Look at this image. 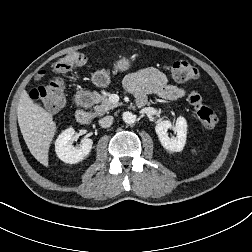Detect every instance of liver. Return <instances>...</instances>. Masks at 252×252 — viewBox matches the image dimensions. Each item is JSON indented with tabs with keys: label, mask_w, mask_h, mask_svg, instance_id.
Listing matches in <instances>:
<instances>
[{
	"label": "liver",
	"mask_w": 252,
	"mask_h": 252,
	"mask_svg": "<svg viewBox=\"0 0 252 252\" xmlns=\"http://www.w3.org/2000/svg\"><path fill=\"white\" fill-rule=\"evenodd\" d=\"M17 117L30 153L47 167L49 147L57 129L52 114L35 103L24 91L19 99Z\"/></svg>",
	"instance_id": "6515ba94"
}]
</instances>
